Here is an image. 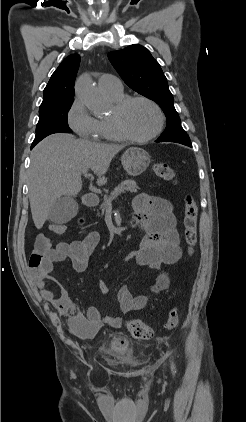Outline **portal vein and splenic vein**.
<instances>
[{
	"mask_svg": "<svg viewBox=\"0 0 246 422\" xmlns=\"http://www.w3.org/2000/svg\"><path fill=\"white\" fill-rule=\"evenodd\" d=\"M83 175H87V170H83ZM111 205V204H110Z\"/></svg>",
	"mask_w": 246,
	"mask_h": 422,
	"instance_id": "1",
	"label": "portal vein and splenic vein"
}]
</instances>
